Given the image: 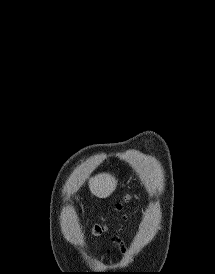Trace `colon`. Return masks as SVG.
I'll return each instance as SVG.
<instances>
[{
  "mask_svg": "<svg viewBox=\"0 0 215 274\" xmlns=\"http://www.w3.org/2000/svg\"><path fill=\"white\" fill-rule=\"evenodd\" d=\"M118 209H121V204H118ZM104 228L105 227L102 224H96L94 226V232L96 234H99V233H101L104 230Z\"/></svg>",
  "mask_w": 215,
  "mask_h": 274,
  "instance_id": "obj_1",
  "label": "colon"
}]
</instances>
